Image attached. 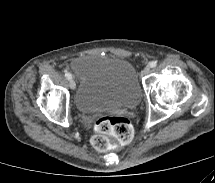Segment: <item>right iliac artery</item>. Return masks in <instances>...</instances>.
Returning <instances> with one entry per match:
<instances>
[{
  "mask_svg": "<svg viewBox=\"0 0 215 183\" xmlns=\"http://www.w3.org/2000/svg\"><path fill=\"white\" fill-rule=\"evenodd\" d=\"M65 76L68 80H70L72 78V75L69 72H66Z\"/></svg>",
  "mask_w": 215,
  "mask_h": 183,
  "instance_id": "right-iliac-artery-1",
  "label": "right iliac artery"
}]
</instances>
